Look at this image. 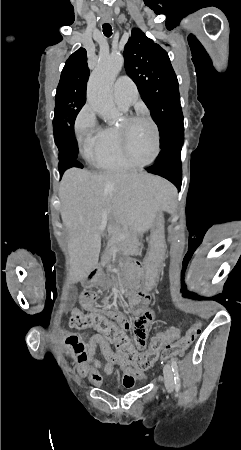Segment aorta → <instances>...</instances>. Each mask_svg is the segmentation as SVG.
<instances>
[{
  "label": "aorta",
  "mask_w": 241,
  "mask_h": 450,
  "mask_svg": "<svg viewBox=\"0 0 241 450\" xmlns=\"http://www.w3.org/2000/svg\"><path fill=\"white\" fill-rule=\"evenodd\" d=\"M123 64L124 59L121 54L102 58L98 61L88 81V103L100 117L107 121H113L117 115L111 88Z\"/></svg>",
  "instance_id": "1"
}]
</instances>
